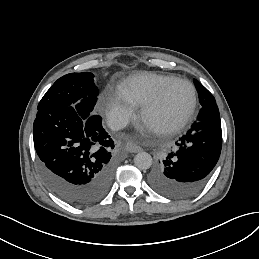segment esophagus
I'll use <instances>...</instances> for the list:
<instances>
[{
    "instance_id": "1",
    "label": "esophagus",
    "mask_w": 259,
    "mask_h": 259,
    "mask_svg": "<svg viewBox=\"0 0 259 259\" xmlns=\"http://www.w3.org/2000/svg\"><path fill=\"white\" fill-rule=\"evenodd\" d=\"M126 149L129 152H133V153L140 152L142 150V148L140 146H138L137 144H135L133 142H128L126 144Z\"/></svg>"
}]
</instances>
